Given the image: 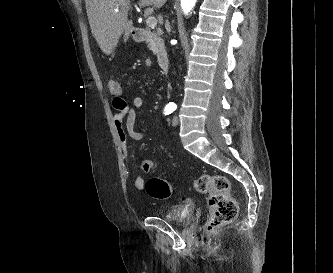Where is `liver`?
Here are the masks:
<instances>
[{
	"instance_id": "liver-1",
	"label": "liver",
	"mask_w": 333,
	"mask_h": 273,
	"mask_svg": "<svg viewBox=\"0 0 333 273\" xmlns=\"http://www.w3.org/2000/svg\"><path fill=\"white\" fill-rule=\"evenodd\" d=\"M167 0H139L141 7L154 5L161 8ZM86 11L93 36L100 49L110 55L124 33L129 37L132 20H128L131 0H85ZM117 9V11H115Z\"/></svg>"
}]
</instances>
